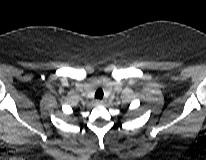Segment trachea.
<instances>
[{
	"mask_svg": "<svg viewBox=\"0 0 206 160\" xmlns=\"http://www.w3.org/2000/svg\"><path fill=\"white\" fill-rule=\"evenodd\" d=\"M95 98L96 99H102L103 98V90L101 88L96 91Z\"/></svg>",
	"mask_w": 206,
	"mask_h": 160,
	"instance_id": "3493384b",
	"label": "trachea"
}]
</instances>
